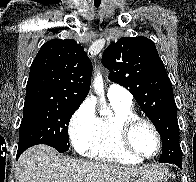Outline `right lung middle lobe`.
I'll use <instances>...</instances> for the list:
<instances>
[{"mask_svg":"<svg viewBox=\"0 0 196 182\" xmlns=\"http://www.w3.org/2000/svg\"><path fill=\"white\" fill-rule=\"evenodd\" d=\"M78 107L47 105L24 108L17 154L36 144H47L59 152L69 150L68 125Z\"/></svg>","mask_w":196,"mask_h":182,"instance_id":"1","label":"right lung middle lobe"}]
</instances>
